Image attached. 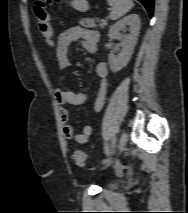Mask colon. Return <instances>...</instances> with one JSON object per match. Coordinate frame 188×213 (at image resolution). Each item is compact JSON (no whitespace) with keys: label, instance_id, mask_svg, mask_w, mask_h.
Here are the masks:
<instances>
[{"label":"colon","instance_id":"5ec220e1","mask_svg":"<svg viewBox=\"0 0 188 213\" xmlns=\"http://www.w3.org/2000/svg\"><path fill=\"white\" fill-rule=\"evenodd\" d=\"M49 0H37L33 6V13L37 22L39 33L42 39L48 43H52L53 31L50 23V15L48 12ZM74 162L77 166L85 165V155L82 151H76L73 155Z\"/></svg>","mask_w":188,"mask_h":213}]
</instances>
